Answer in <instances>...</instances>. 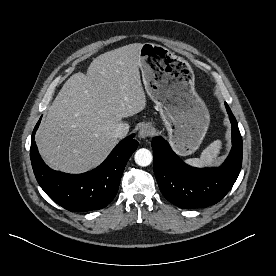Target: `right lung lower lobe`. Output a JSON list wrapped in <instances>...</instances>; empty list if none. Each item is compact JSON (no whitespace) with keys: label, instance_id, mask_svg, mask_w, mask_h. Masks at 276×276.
Returning a JSON list of instances; mask_svg holds the SVG:
<instances>
[{"label":"right lung lower lobe","instance_id":"1","mask_svg":"<svg viewBox=\"0 0 276 276\" xmlns=\"http://www.w3.org/2000/svg\"><path fill=\"white\" fill-rule=\"evenodd\" d=\"M40 120L32 134L30 158L41 188L53 201L69 211L84 212L107 206L117 194L126 163L138 147V142L133 139L135 135L122 140L96 169L71 175L50 169L41 159L34 142Z\"/></svg>","mask_w":276,"mask_h":276}]
</instances>
